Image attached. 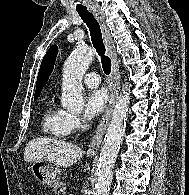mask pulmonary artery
<instances>
[{
    "instance_id": "1",
    "label": "pulmonary artery",
    "mask_w": 189,
    "mask_h": 195,
    "mask_svg": "<svg viewBox=\"0 0 189 195\" xmlns=\"http://www.w3.org/2000/svg\"><path fill=\"white\" fill-rule=\"evenodd\" d=\"M83 81L86 86L92 87V88L98 87L100 85L99 75L94 72H89L85 74Z\"/></svg>"
}]
</instances>
